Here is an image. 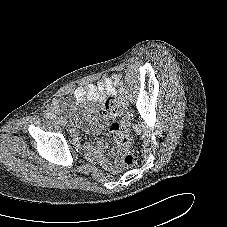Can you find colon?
I'll list each match as a JSON object with an SVG mask.
<instances>
[{"label": "colon", "instance_id": "1", "mask_svg": "<svg viewBox=\"0 0 227 227\" xmlns=\"http://www.w3.org/2000/svg\"><path fill=\"white\" fill-rule=\"evenodd\" d=\"M105 115L112 119L110 126L112 140L117 147L130 146L132 137L130 126L127 122H120L117 119L123 114L120 102L116 97H109L104 103ZM135 164V156L130 150H126L121 158V166L124 169H130Z\"/></svg>", "mask_w": 227, "mask_h": 227}]
</instances>
